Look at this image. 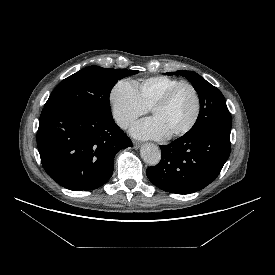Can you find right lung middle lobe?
Instances as JSON below:
<instances>
[{
	"mask_svg": "<svg viewBox=\"0 0 275 275\" xmlns=\"http://www.w3.org/2000/svg\"><path fill=\"white\" fill-rule=\"evenodd\" d=\"M137 70L89 66L62 80L50 95L45 108L74 106L88 108L112 117L109 95L113 86Z\"/></svg>",
	"mask_w": 275,
	"mask_h": 275,
	"instance_id": "dd1d6c3e",
	"label": "right lung middle lobe"
}]
</instances>
